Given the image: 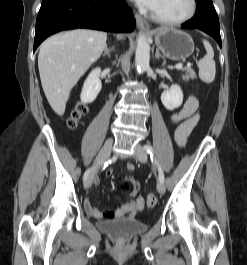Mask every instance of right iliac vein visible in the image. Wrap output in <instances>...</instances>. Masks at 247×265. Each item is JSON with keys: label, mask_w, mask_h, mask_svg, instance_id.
Here are the masks:
<instances>
[{"label": "right iliac vein", "mask_w": 247, "mask_h": 265, "mask_svg": "<svg viewBox=\"0 0 247 265\" xmlns=\"http://www.w3.org/2000/svg\"><path fill=\"white\" fill-rule=\"evenodd\" d=\"M112 144H113V139L109 138L105 142L102 149L100 150V152H99V154H98V156L94 162L93 169L85 181L84 186L86 189H89L91 187L97 168L100 167L102 164H104L106 162V160L110 157Z\"/></svg>", "instance_id": "obj_1"}]
</instances>
